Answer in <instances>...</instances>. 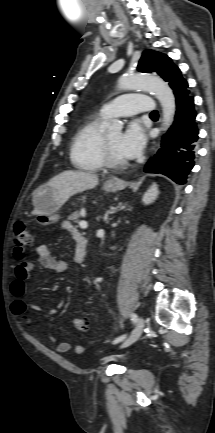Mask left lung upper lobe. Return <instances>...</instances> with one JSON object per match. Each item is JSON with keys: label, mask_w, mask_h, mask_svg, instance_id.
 Returning <instances> with one entry per match:
<instances>
[{"label": "left lung upper lobe", "mask_w": 215, "mask_h": 433, "mask_svg": "<svg viewBox=\"0 0 215 433\" xmlns=\"http://www.w3.org/2000/svg\"><path fill=\"white\" fill-rule=\"evenodd\" d=\"M140 72H156L160 77L169 83V85L181 78L180 69L172 63V60L165 54L146 50L138 64Z\"/></svg>", "instance_id": "left-lung-upper-lobe-1"}]
</instances>
